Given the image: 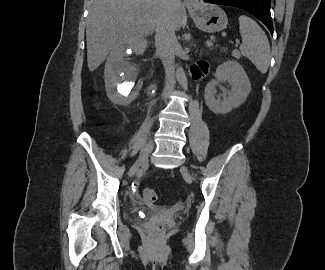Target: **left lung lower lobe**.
Masks as SVG:
<instances>
[{"label": "left lung lower lobe", "instance_id": "obj_1", "mask_svg": "<svg viewBox=\"0 0 325 270\" xmlns=\"http://www.w3.org/2000/svg\"><path fill=\"white\" fill-rule=\"evenodd\" d=\"M206 3L233 6L243 9L262 21L273 35L271 0H204Z\"/></svg>", "mask_w": 325, "mask_h": 270}]
</instances>
